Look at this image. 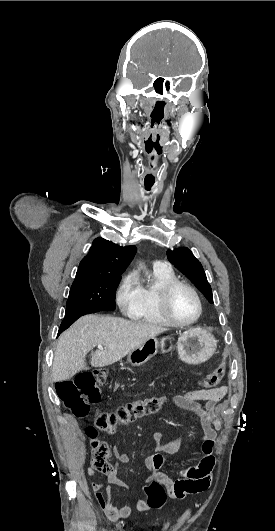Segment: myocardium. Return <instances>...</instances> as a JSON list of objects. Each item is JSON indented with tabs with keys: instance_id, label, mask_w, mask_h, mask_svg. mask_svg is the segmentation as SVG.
I'll list each match as a JSON object with an SVG mask.
<instances>
[{
	"instance_id": "myocardium-1",
	"label": "myocardium",
	"mask_w": 275,
	"mask_h": 531,
	"mask_svg": "<svg viewBox=\"0 0 275 531\" xmlns=\"http://www.w3.org/2000/svg\"><path fill=\"white\" fill-rule=\"evenodd\" d=\"M178 287H183L187 289L196 300L198 311H197L196 316L190 321H186V322L179 321L173 316V314L170 311V306H169L170 297L173 291ZM159 307H160L161 313L166 318V320L169 321L172 325H175L178 327H187V326H191L195 324L201 318L202 312H203L202 301L196 289L193 286H191L189 283L181 281V280H177V279L172 280L160 287Z\"/></svg>"
}]
</instances>
